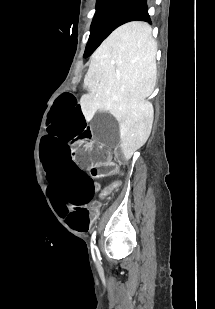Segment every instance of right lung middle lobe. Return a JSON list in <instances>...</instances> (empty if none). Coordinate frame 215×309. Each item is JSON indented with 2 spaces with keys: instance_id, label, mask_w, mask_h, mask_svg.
Returning <instances> with one entry per match:
<instances>
[{
  "instance_id": "obj_1",
  "label": "right lung middle lobe",
  "mask_w": 215,
  "mask_h": 309,
  "mask_svg": "<svg viewBox=\"0 0 215 309\" xmlns=\"http://www.w3.org/2000/svg\"><path fill=\"white\" fill-rule=\"evenodd\" d=\"M133 0H97L96 13L84 57L91 55L117 24Z\"/></svg>"
}]
</instances>
